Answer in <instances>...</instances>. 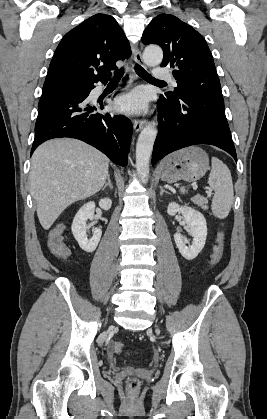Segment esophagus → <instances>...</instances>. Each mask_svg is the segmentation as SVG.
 <instances>
[{
	"label": "esophagus",
	"mask_w": 267,
	"mask_h": 419,
	"mask_svg": "<svg viewBox=\"0 0 267 419\" xmlns=\"http://www.w3.org/2000/svg\"><path fill=\"white\" fill-rule=\"evenodd\" d=\"M134 59L137 64L143 65L141 51L137 49L134 53ZM145 125V120H135L133 123L134 129L136 132H139Z\"/></svg>",
	"instance_id": "1"
}]
</instances>
